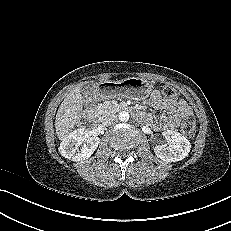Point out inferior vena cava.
I'll return each instance as SVG.
<instances>
[{
    "label": "inferior vena cava",
    "mask_w": 231,
    "mask_h": 231,
    "mask_svg": "<svg viewBox=\"0 0 231 231\" xmlns=\"http://www.w3.org/2000/svg\"><path fill=\"white\" fill-rule=\"evenodd\" d=\"M117 119L115 114H107L101 118V122L105 126H109L113 124V122Z\"/></svg>",
    "instance_id": "obj_1"
}]
</instances>
